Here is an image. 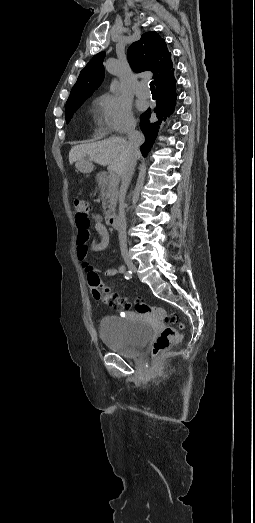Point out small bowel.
<instances>
[{
    "label": "small bowel",
    "instance_id": "small-bowel-1",
    "mask_svg": "<svg viewBox=\"0 0 255 523\" xmlns=\"http://www.w3.org/2000/svg\"><path fill=\"white\" fill-rule=\"evenodd\" d=\"M77 226H78L77 248H76L77 258L82 262V266L86 272L97 273L98 270H95L90 265V263L87 261L88 252L89 251L99 252V251L106 249V247L109 244L108 230L105 227V225L102 223L101 216L98 214H93L92 215V227L100 236V241H93L89 244L90 227H91L90 221L87 226H79V225H77ZM124 271H125V267L123 265H118V266L109 268L105 272V275L116 276L118 274H122Z\"/></svg>",
    "mask_w": 255,
    "mask_h": 523
}]
</instances>
